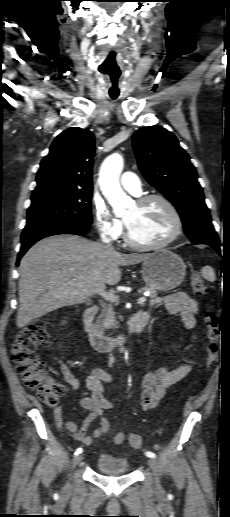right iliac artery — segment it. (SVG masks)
Wrapping results in <instances>:
<instances>
[{
    "instance_id": "82829eb1",
    "label": "right iliac artery",
    "mask_w": 230,
    "mask_h": 517,
    "mask_svg": "<svg viewBox=\"0 0 230 517\" xmlns=\"http://www.w3.org/2000/svg\"><path fill=\"white\" fill-rule=\"evenodd\" d=\"M82 451V448H77L74 454L79 455L80 453H82Z\"/></svg>"
}]
</instances>
